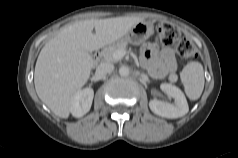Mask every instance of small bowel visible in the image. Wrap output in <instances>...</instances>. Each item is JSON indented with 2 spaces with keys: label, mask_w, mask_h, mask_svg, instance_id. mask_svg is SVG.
<instances>
[{
  "label": "small bowel",
  "mask_w": 238,
  "mask_h": 158,
  "mask_svg": "<svg viewBox=\"0 0 238 158\" xmlns=\"http://www.w3.org/2000/svg\"><path fill=\"white\" fill-rule=\"evenodd\" d=\"M141 63L147 68L150 75L157 79L173 75L177 69L173 51L169 48L159 50L152 43L143 46Z\"/></svg>",
  "instance_id": "small-bowel-1"
}]
</instances>
